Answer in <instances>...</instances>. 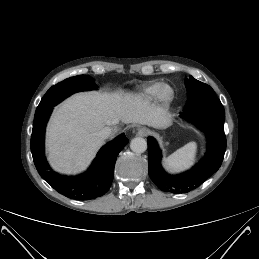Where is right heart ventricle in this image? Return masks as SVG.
I'll list each match as a JSON object with an SVG mask.
<instances>
[{
	"label": "right heart ventricle",
	"instance_id": "obj_1",
	"mask_svg": "<svg viewBox=\"0 0 259 259\" xmlns=\"http://www.w3.org/2000/svg\"><path fill=\"white\" fill-rule=\"evenodd\" d=\"M160 86H161L160 82H152V83L144 86L140 90L139 95L141 98H143L145 100H152L153 98L156 97L157 91Z\"/></svg>",
	"mask_w": 259,
	"mask_h": 259
}]
</instances>
